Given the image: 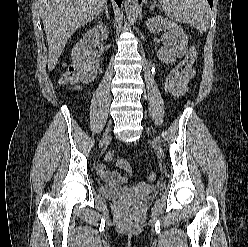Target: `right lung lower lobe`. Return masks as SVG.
I'll return each mask as SVG.
<instances>
[{"label": "right lung lower lobe", "mask_w": 248, "mask_h": 247, "mask_svg": "<svg viewBox=\"0 0 248 247\" xmlns=\"http://www.w3.org/2000/svg\"><path fill=\"white\" fill-rule=\"evenodd\" d=\"M115 1H116V3L118 4V6H120L121 3H122V0H115Z\"/></svg>", "instance_id": "right-lung-lower-lobe-1"}]
</instances>
